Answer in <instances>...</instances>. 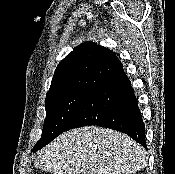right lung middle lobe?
<instances>
[{
    "label": "right lung middle lobe",
    "mask_w": 175,
    "mask_h": 174,
    "mask_svg": "<svg viewBox=\"0 0 175 174\" xmlns=\"http://www.w3.org/2000/svg\"><path fill=\"white\" fill-rule=\"evenodd\" d=\"M91 90H78L56 95L45 100L46 118L44 120L41 139L33 148H42L65 132L68 124Z\"/></svg>",
    "instance_id": "obj_1"
}]
</instances>
